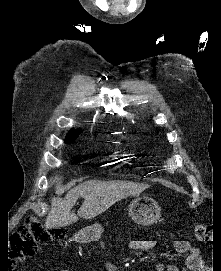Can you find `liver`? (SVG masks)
<instances>
[{
    "label": "liver",
    "instance_id": "obj_1",
    "mask_svg": "<svg viewBox=\"0 0 221 271\" xmlns=\"http://www.w3.org/2000/svg\"><path fill=\"white\" fill-rule=\"evenodd\" d=\"M130 189H135V187L129 185V183L84 181V183H80V185L71 189L65 197H52L51 209L45 225L46 227H64V225L75 223L79 217L92 219L95 215H100V213L106 211L119 199L127 197L130 193H138V191H130ZM79 195H82L85 199L77 213H74L72 207Z\"/></svg>",
    "mask_w": 221,
    "mask_h": 271
}]
</instances>
